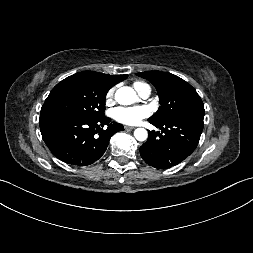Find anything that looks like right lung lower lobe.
Masks as SVG:
<instances>
[{"mask_svg":"<svg viewBox=\"0 0 253 253\" xmlns=\"http://www.w3.org/2000/svg\"><path fill=\"white\" fill-rule=\"evenodd\" d=\"M99 119L44 117L39 119L44 142L59 160L77 166L96 162L106 151L110 137L124 130L119 123ZM107 125V129H103Z\"/></svg>","mask_w":253,"mask_h":253,"instance_id":"right-lung-lower-lobe-1","label":"right lung lower lobe"}]
</instances>
